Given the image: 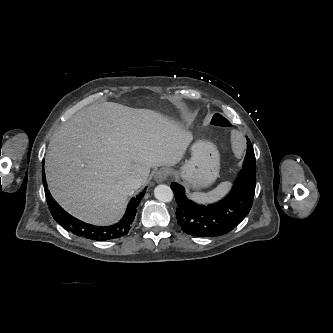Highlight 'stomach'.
Wrapping results in <instances>:
<instances>
[{
  "label": "stomach",
  "mask_w": 333,
  "mask_h": 333,
  "mask_svg": "<svg viewBox=\"0 0 333 333\" xmlns=\"http://www.w3.org/2000/svg\"><path fill=\"white\" fill-rule=\"evenodd\" d=\"M191 158L174 173L194 189L210 186L219 176L220 155L210 141L198 140L191 146Z\"/></svg>",
  "instance_id": "0dacf381"
}]
</instances>
